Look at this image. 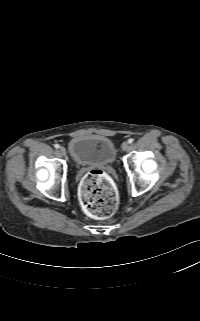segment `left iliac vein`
<instances>
[{"mask_svg": "<svg viewBox=\"0 0 200 321\" xmlns=\"http://www.w3.org/2000/svg\"><path fill=\"white\" fill-rule=\"evenodd\" d=\"M129 143L128 142H123L122 143V146H121V148H122V150L123 151H127L128 149H129Z\"/></svg>", "mask_w": 200, "mask_h": 321, "instance_id": "left-iliac-vein-1", "label": "left iliac vein"}]
</instances>
